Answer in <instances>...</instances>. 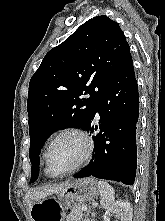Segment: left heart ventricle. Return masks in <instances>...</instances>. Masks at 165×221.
Listing matches in <instances>:
<instances>
[{
    "mask_svg": "<svg viewBox=\"0 0 165 221\" xmlns=\"http://www.w3.org/2000/svg\"><path fill=\"white\" fill-rule=\"evenodd\" d=\"M84 153V143L76 135H65L57 139L49 152V161L57 172L72 168Z\"/></svg>",
    "mask_w": 165,
    "mask_h": 221,
    "instance_id": "b2bd125f",
    "label": "left heart ventricle"
}]
</instances>
